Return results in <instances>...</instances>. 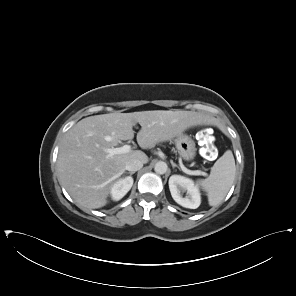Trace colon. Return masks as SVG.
Listing matches in <instances>:
<instances>
[{"label": "colon", "mask_w": 296, "mask_h": 296, "mask_svg": "<svg viewBox=\"0 0 296 296\" xmlns=\"http://www.w3.org/2000/svg\"><path fill=\"white\" fill-rule=\"evenodd\" d=\"M197 136L202 145L201 152L203 157L213 159L217 154V150L212 135L206 129H201L198 131Z\"/></svg>", "instance_id": "5ec220e1"}]
</instances>
